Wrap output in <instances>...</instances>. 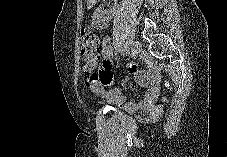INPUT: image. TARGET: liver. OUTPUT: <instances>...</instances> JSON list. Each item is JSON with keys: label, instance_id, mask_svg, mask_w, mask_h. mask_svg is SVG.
<instances>
[{"label": "liver", "instance_id": "6515ba94", "mask_svg": "<svg viewBox=\"0 0 227 157\" xmlns=\"http://www.w3.org/2000/svg\"><path fill=\"white\" fill-rule=\"evenodd\" d=\"M90 2L94 3L95 1H94V0H93V1H89V3H90Z\"/></svg>", "mask_w": 227, "mask_h": 157}]
</instances>
